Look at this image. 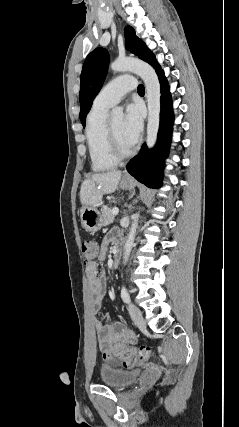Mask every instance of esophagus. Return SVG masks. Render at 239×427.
<instances>
[{
  "instance_id": "obj_1",
  "label": "esophagus",
  "mask_w": 239,
  "mask_h": 427,
  "mask_svg": "<svg viewBox=\"0 0 239 427\" xmlns=\"http://www.w3.org/2000/svg\"><path fill=\"white\" fill-rule=\"evenodd\" d=\"M125 179H130V176H129V175H126V176H125Z\"/></svg>"
}]
</instances>
